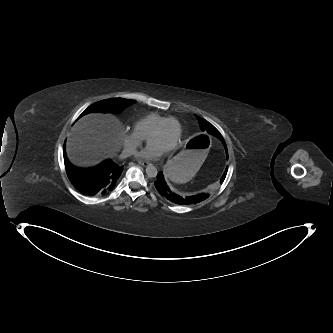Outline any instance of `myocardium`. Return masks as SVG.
I'll return each instance as SVG.
<instances>
[{
  "instance_id": "obj_1",
  "label": "myocardium",
  "mask_w": 333,
  "mask_h": 333,
  "mask_svg": "<svg viewBox=\"0 0 333 333\" xmlns=\"http://www.w3.org/2000/svg\"><path fill=\"white\" fill-rule=\"evenodd\" d=\"M169 122H175L178 129H179V132H180V123L179 121L175 118V117H168L167 119L163 120L152 132L151 134L149 135L148 137V142H151V140L156 136L158 135L162 130L163 128L165 127V125ZM178 141H179V137L176 138V140L174 141V143L167 149V151H172L173 149H175L178 145Z\"/></svg>"
}]
</instances>
